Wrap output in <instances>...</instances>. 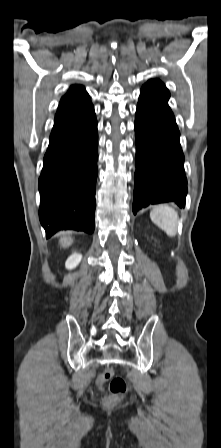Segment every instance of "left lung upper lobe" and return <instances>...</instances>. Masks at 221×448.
Listing matches in <instances>:
<instances>
[{
  "mask_svg": "<svg viewBox=\"0 0 221 448\" xmlns=\"http://www.w3.org/2000/svg\"><path fill=\"white\" fill-rule=\"evenodd\" d=\"M143 87H147L149 89L158 91L160 93L170 95L168 89L165 87V85L158 79L156 80H149L146 84H144Z\"/></svg>",
  "mask_w": 221,
  "mask_h": 448,
  "instance_id": "5c2ea615",
  "label": "left lung upper lobe"
}]
</instances>
